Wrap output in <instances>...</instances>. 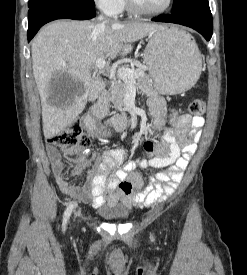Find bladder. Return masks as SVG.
Returning a JSON list of instances; mask_svg holds the SVG:
<instances>
[{
  "mask_svg": "<svg viewBox=\"0 0 247 275\" xmlns=\"http://www.w3.org/2000/svg\"><path fill=\"white\" fill-rule=\"evenodd\" d=\"M100 216L108 222H124L129 218V212L120 206H106L98 208Z\"/></svg>",
  "mask_w": 247,
  "mask_h": 275,
  "instance_id": "31cf9c89",
  "label": "bladder"
}]
</instances>
